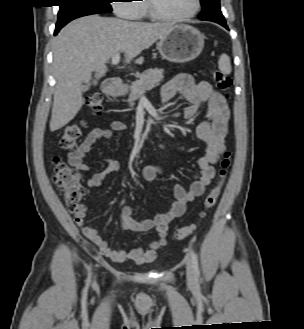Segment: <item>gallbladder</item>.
Masks as SVG:
<instances>
[{"label": "gallbladder", "mask_w": 304, "mask_h": 329, "mask_svg": "<svg viewBox=\"0 0 304 329\" xmlns=\"http://www.w3.org/2000/svg\"><path fill=\"white\" fill-rule=\"evenodd\" d=\"M90 86H91V83L90 82H87V83L83 84L82 85V92L88 91L89 88H90Z\"/></svg>", "instance_id": "bac80fb5"}]
</instances>
